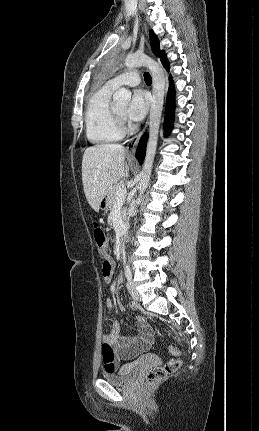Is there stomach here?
Here are the masks:
<instances>
[{
	"mask_svg": "<svg viewBox=\"0 0 259 431\" xmlns=\"http://www.w3.org/2000/svg\"><path fill=\"white\" fill-rule=\"evenodd\" d=\"M99 208L102 210H106L109 208V200H108V195L103 198L99 204Z\"/></svg>",
	"mask_w": 259,
	"mask_h": 431,
	"instance_id": "1",
	"label": "stomach"
}]
</instances>
